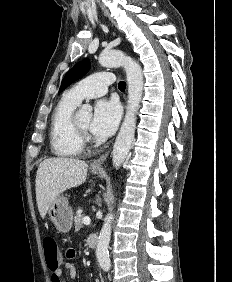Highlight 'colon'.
Returning <instances> with one entry per match:
<instances>
[{
	"instance_id": "colon-1",
	"label": "colon",
	"mask_w": 232,
	"mask_h": 282,
	"mask_svg": "<svg viewBox=\"0 0 232 282\" xmlns=\"http://www.w3.org/2000/svg\"><path fill=\"white\" fill-rule=\"evenodd\" d=\"M42 244L47 267L54 272L60 267L62 262V255L57 241L51 236H46L43 238Z\"/></svg>"
}]
</instances>
